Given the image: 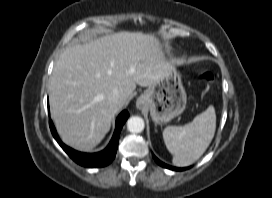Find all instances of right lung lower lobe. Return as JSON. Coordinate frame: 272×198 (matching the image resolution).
I'll return each instance as SVG.
<instances>
[{"label":"right lung lower lobe","mask_w":272,"mask_h":198,"mask_svg":"<svg viewBox=\"0 0 272 198\" xmlns=\"http://www.w3.org/2000/svg\"><path fill=\"white\" fill-rule=\"evenodd\" d=\"M128 117L129 113L126 110L121 112V114L118 116L116 120V128L109 145L103 151L94 154L81 153L66 146L59 139L51 120H49V124L53 137L56 139V141L59 143L62 149L76 163L85 167H103L111 163L112 160L114 159L117 151L120 131Z\"/></svg>","instance_id":"obj_1"}]
</instances>
